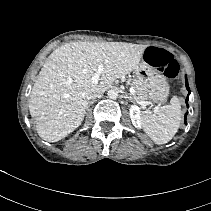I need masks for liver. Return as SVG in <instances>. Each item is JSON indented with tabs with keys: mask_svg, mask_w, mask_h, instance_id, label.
<instances>
[{
	"mask_svg": "<svg viewBox=\"0 0 211 211\" xmlns=\"http://www.w3.org/2000/svg\"><path fill=\"white\" fill-rule=\"evenodd\" d=\"M148 46L126 42H69L47 58L31 91L29 111L38 135L48 142L78 128L91 95L137 68ZM102 65L99 83L92 75Z\"/></svg>",
	"mask_w": 211,
	"mask_h": 211,
	"instance_id": "obj_1",
	"label": "liver"
}]
</instances>
